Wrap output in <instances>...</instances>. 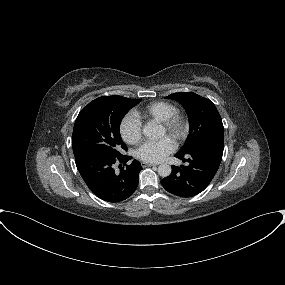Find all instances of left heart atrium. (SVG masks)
<instances>
[{
	"label": "left heart atrium",
	"mask_w": 285,
	"mask_h": 285,
	"mask_svg": "<svg viewBox=\"0 0 285 285\" xmlns=\"http://www.w3.org/2000/svg\"><path fill=\"white\" fill-rule=\"evenodd\" d=\"M174 149L175 144L172 139L164 136L159 140L143 143L136 151V156L144 162L157 163L173 152Z\"/></svg>",
	"instance_id": "left-heart-atrium-1"
}]
</instances>
